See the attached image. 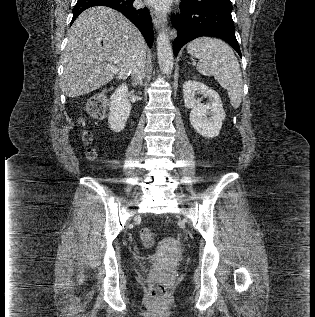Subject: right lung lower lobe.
<instances>
[{
    "label": "right lung lower lobe",
    "mask_w": 315,
    "mask_h": 317,
    "mask_svg": "<svg viewBox=\"0 0 315 317\" xmlns=\"http://www.w3.org/2000/svg\"><path fill=\"white\" fill-rule=\"evenodd\" d=\"M134 0H78L73 8L72 22L85 9L93 6H107L125 15L143 34L148 46L153 43V24L147 8L136 9L133 7Z\"/></svg>",
    "instance_id": "1"
}]
</instances>
